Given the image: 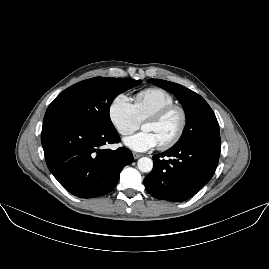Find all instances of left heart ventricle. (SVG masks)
Listing matches in <instances>:
<instances>
[{"label":"left heart ventricle","mask_w":269,"mask_h":269,"mask_svg":"<svg viewBox=\"0 0 269 269\" xmlns=\"http://www.w3.org/2000/svg\"><path fill=\"white\" fill-rule=\"evenodd\" d=\"M179 126L180 116L176 112L160 118H151L143 123L144 131L151 132L159 146L167 143L175 135Z\"/></svg>","instance_id":"left-heart-ventricle-1"}]
</instances>
